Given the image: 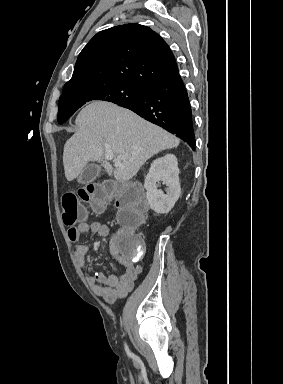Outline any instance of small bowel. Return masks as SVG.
I'll return each mask as SVG.
<instances>
[{"label":"small bowel","mask_w":283,"mask_h":384,"mask_svg":"<svg viewBox=\"0 0 283 384\" xmlns=\"http://www.w3.org/2000/svg\"><path fill=\"white\" fill-rule=\"evenodd\" d=\"M94 233L101 237L110 236V229L106 224L100 222L80 223L68 231V237L71 242L78 243L83 235ZM87 246L77 244L75 247V257L79 265L87 269ZM110 253L124 266L125 271L121 275H106L103 272L87 274L86 281L92 291L102 297L107 303L113 304L125 297L134 287L135 280L142 272V267L135 265L134 261L125 259L120 255L114 239L110 241Z\"/></svg>","instance_id":"c3829d8e"}]
</instances>
